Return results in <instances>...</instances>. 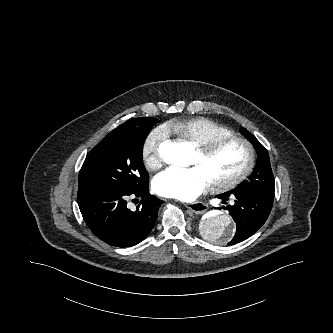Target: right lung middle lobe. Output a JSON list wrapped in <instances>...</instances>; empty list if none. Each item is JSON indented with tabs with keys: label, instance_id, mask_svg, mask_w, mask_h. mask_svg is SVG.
<instances>
[{
	"label": "right lung middle lobe",
	"instance_id": "obj_1",
	"mask_svg": "<svg viewBox=\"0 0 333 333\" xmlns=\"http://www.w3.org/2000/svg\"><path fill=\"white\" fill-rule=\"evenodd\" d=\"M159 120L144 117L129 126H119L87 155L79 173L78 191L96 187H141L148 174L142 162L143 144Z\"/></svg>",
	"mask_w": 333,
	"mask_h": 333
}]
</instances>
